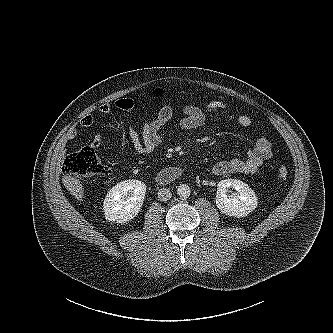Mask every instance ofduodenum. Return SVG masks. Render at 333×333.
I'll return each instance as SVG.
<instances>
[{"mask_svg": "<svg viewBox=\"0 0 333 333\" xmlns=\"http://www.w3.org/2000/svg\"><path fill=\"white\" fill-rule=\"evenodd\" d=\"M183 174V170L179 167H169L161 170L157 176L156 181L161 185L169 184L178 178H180Z\"/></svg>", "mask_w": 333, "mask_h": 333, "instance_id": "duodenum-1", "label": "duodenum"}]
</instances>
